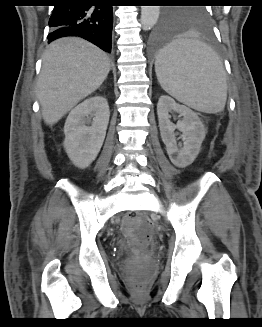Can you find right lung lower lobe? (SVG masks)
<instances>
[{"instance_id":"right-lung-lower-lobe-1","label":"right lung lower lobe","mask_w":262,"mask_h":327,"mask_svg":"<svg viewBox=\"0 0 262 327\" xmlns=\"http://www.w3.org/2000/svg\"><path fill=\"white\" fill-rule=\"evenodd\" d=\"M49 20L48 43L65 37H82L102 50L111 52L113 10L104 0L91 6L90 0H59Z\"/></svg>"}]
</instances>
